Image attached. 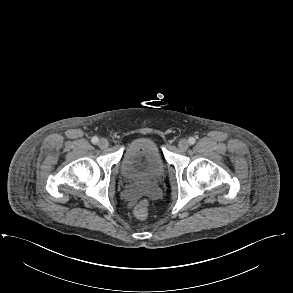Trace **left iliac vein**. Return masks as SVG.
<instances>
[{
    "instance_id": "obj_1",
    "label": "left iliac vein",
    "mask_w": 293,
    "mask_h": 293,
    "mask_svg": "<svg viewBox=\"0 0 293 293\" xmlns=\"http://www.w3.org/2000/svg\"><path fill=\"white\" fill-rule=\"evenodd\" d=\"M178 147L180 150H187L189 147V142L186 139H181L178 143Z\"/></svg>"
}]
</instances>
